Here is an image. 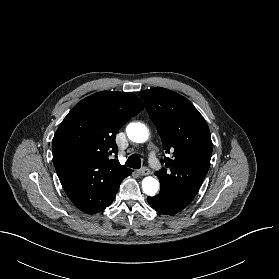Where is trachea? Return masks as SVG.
Listing matches in <instances>:
<instances>
[{
	"label": "trachea",
	"mask_w": 279,
	"mask_h": 279,
	"mask_svg": "<svg viewBox=\"0 0 279 279\" xmlns=\"http://www.w3.org/2000/svg\"><path fill=\"white\" fill-rule=\"evenodd\" d=\"M125 166L139 169L141 167V159L138 154H132L126 161Z\"/></svg>",
	"instance_id": "3493384b"
}]
</instances>
